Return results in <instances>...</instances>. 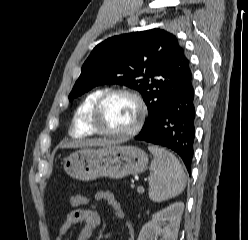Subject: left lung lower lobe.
<instances>
[{
    "instance_id": "left-lung-lower-lobe-1",
    "label": "left lung lower lobe",
    "mask_w": 248,
    "mask_h": 240,
    "mask_svg": "<svg viewBox=\"0 0 248 240\" xmlns=\"http://www.w3.org/2000/svg\"><path fill=\"white\" fill-rule=\"evenodd\" d=\"M195 94L192 81L172 94L136 140L168 147L183 160L188 172L194 155Z\"/></svg>"
}]
</instances>
